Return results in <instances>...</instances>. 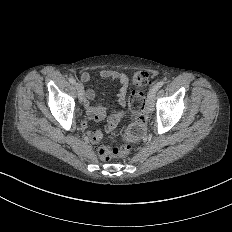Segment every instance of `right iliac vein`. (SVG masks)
<instances>
[{"mask_svg":"<svg viewBox=\"0 0 232 232\" xmlns=\"http://www.w3.org/2000/svg\"><path fill=\"white\" fill-rule=\"evenodd\" d=\"M77 87V96H78V102L84 100L85 97V91H84V86L82 87L80 83L76 84Z\"/></svg>","mask_w":232,"mask_h":232,"instance_id":"63e3f726","label":"right iliac vein"}]
</instances>
